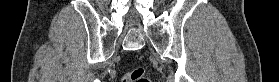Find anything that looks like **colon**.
Returning a JSON list of instances; mask_svg holds the SVG:
<instances>
[{
    "label": "colon",
    "instance_id": "1",
    "mask_svg": "<svg viewBox=\"0 0 279 82\" xmlns=\"http://www.w3.org/2000/svg\"><path fill=\"white\" fill-rule=\"evenodd\" d=\"M121 82H149L144 69L138 68L123 75Z\"/></svg>",
    "mask_w": 279,
    "mask_h": 82
}]
</instances>
